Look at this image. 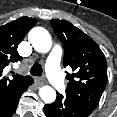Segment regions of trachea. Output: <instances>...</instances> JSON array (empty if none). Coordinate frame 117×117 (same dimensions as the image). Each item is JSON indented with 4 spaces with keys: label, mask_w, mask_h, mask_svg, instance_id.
<instances>
[{
    "label": "trachea",
    "mask_w": 117,
    "mask_h": 117,
    "mask_svg": "<svg viewBox=\"0 0 117 117\" xmlns=\"http://www.w3.org/2000/svg\"><path fill=\"white\" fill-rule=\"evenodd\" d=\"M42 66L39 63H34V65L31 67L30 74L34 76L41 77L42 76Z\"/></svg>",
    "instance_id": "1"
}]
</instances>
